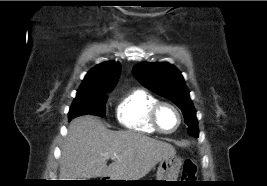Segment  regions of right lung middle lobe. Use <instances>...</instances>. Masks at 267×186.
<instances>
[{"label":"right lung middle lobe","instance_id":"dd1d6c3e","mask_svg":"<svg viewBox=\"0 0 267 186\" xmlns=\"http://www.w3.org/2000/svg\"><path fill=\"white\" fill-rule=\"evenodd\" d=\"M111 89H101L96 91H82L77 92L70 111L69 119L80 115L91 114L104 117L106 114L105 103L107 100V93Z\"/></svg>","mask_w":267,"mask_h":186}]
</instances>
